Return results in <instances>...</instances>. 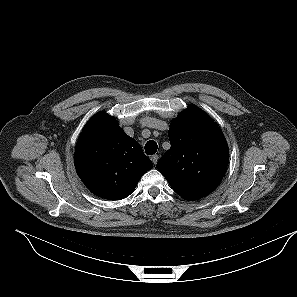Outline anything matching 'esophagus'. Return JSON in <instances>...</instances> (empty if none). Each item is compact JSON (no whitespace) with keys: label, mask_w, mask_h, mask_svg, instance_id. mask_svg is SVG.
<instances>
[{"label":"esophagus","mask_w":297,"mask_h":297,"mask_svg":"<svg viewBox=\"0 0 297 297\" xmlns=\"http://www.w3.org/2000/svg\"><path fill=\"white\" fill-rule=\"evenodd\" d=\"M158 159H159V156H158L157 154H155V155H153V156L151 157V160H152V162H153L154 164L157 163Z\"/></svg>","instance_id":"34e87169"}]
</instances>
